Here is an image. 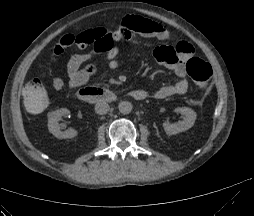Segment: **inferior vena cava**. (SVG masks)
I'll return each mask as SVG.
<instances>
[{"instance_id": "inferior-vena-cava-1", "label": "inferior vena cava", "mask_w": 254, "mask_h": 216, "mask_svg": "<svg viewBox=\"0 0 254 216\" xmlns=\"http://www.w3.org/2000/svg\"><path fill=\"white\" fill-rule=\"evenodd\" d=\"M110 109V106L108 103L104 101H100L95 105V112L99 115L106 114Z\"/></svg>"}]
</instances>
